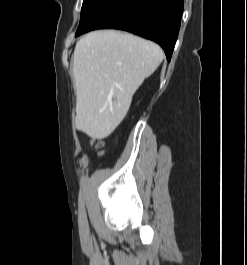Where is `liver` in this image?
<instances>
[{"mask_svg": "<svg viewBox=\"0 0 247 265\" xmlns=\"http://www.w3.org/2000/svg\"><path fill=\"white\" fill-rule=\"evenodd\" d=\"M162 60L157 44L132 34L102 30L81 38L73 62L76 128L94 139L109 136Z\"/></svg>", "mask_w": 247, "mask_h": 265, "instance_id": "1", "label": "liver"}]
</instances>
